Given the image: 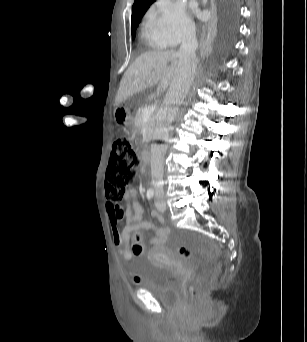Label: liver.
<instances>
[{
    "label": "liver",
    "mask_w": 307,
    "mask_h": 342,
    "mask_svg": "<svg viewBox=\"0 0 307 342\" xmlns=\"http://www.w3.org/2000/svg\"><path fill=\"white\" fill-rule=\"evenodd\" d=\"M177 52H144L136 58L135 62L126 70L115 98V106L128 100L134 94L143 92L151 86L158 84V92H163L171 86L178 66Z\"/></svg>",
    "instance_id": "1"
}]
</instances>
